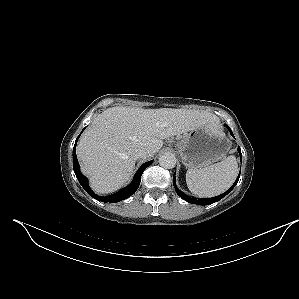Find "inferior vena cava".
Instances as JSON below:
<instances>
[{"label":"inferior vena cava","mask_w":299,"mask_h":299,"mask_svg":"<svg viewBox=\"0 0 299 299\" xmlns=\"http://www.w3.org/2000/svg\"><path fill=\"white\" fill-rule=\"evenodd\" d=\"M151 156V151L148 149H141L135 154V158H141V157H150Z\"/></svg>","instance_id":"1"}]
</instances>
